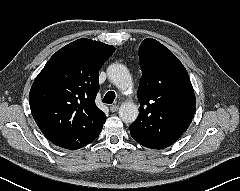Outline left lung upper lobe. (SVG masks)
<instances>
[{
  "mask_svg": "<svg viewBox=\"0 0 240 191\" xmlns=\"http://www.w3.org/2000/svg\"><path fill=\"white\" fill-rule=\"evenodd\" d=\"M139 57L140 114L130 128L147 141L173 143L187 130L196 111L188 73L180 60L155 39L141 43Z\"/></svg>",
  "mask_w": 240,
  "mask_h": 191,
  "instance_id": "1",
  "label": "left lung upper lobe"
}]
</instances>
